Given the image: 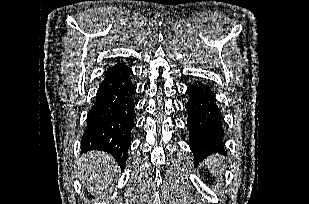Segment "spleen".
Returning a JSON list of instances; mask_svg holds the SVG:
<instances>
[{
    "mask_svg": "<svg viewBox=\"0 0 309 204\" xmlns=\"http://www.w3.org/2000/svg\"><path fill=\"white\" fill-rule=\"evenodd\" d=\"M206 162L211 172L215 175H219V177L222 178V173L224 169L221 165L222 163L221 158L218 156L210 157L209 159H207Z\"/></svg>",
    "mask_w": 309,
    "mask_h": 204,
    "instance_id": "1",
    "label": "spleen"
}]
</instances>
